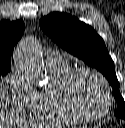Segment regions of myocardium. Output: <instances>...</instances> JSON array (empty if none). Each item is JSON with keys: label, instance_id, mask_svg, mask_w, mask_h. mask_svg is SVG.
Returning <instances> with one entry per match:
<instances>
[{"label": "myocardium", "instance_id": "obj_1", "mask_svg": "<svg viewBox=\"0 0 125 128\" xmlns=\"http://www.w3.org/2000/svg\"><path fill=\"white\" fill-rule=\"evenodd\" d=\"M83 74H90L94 76L96 79L99 80V82L101 83L104 89V92L106 95V105L103 111L98 114H87L83 112L77 106L75 100L73 99V96H72L73 85L75 81L77 80V78ZM60 95L67 109L76 118L80 119L83 122L97 121L105 117L109 113L111 106H112V102H113L112 92L110 90V86L107 80L104 78V76L101 73L89 67H79V68H75L71 70L60 86Z\"/></svg>", "mask_w": 125, "mask_h": 128}]
</instances>
